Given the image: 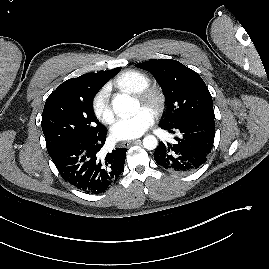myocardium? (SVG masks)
Segmentation results:
<instances>
[{
	"mask_svg": "<svg viewBox=\"0 0 269 269\" xmlns=\"http://www.w3.org/2000/svg\"><path fill=\"white\" fill-rule=\"evenodd\" d=\"M137 98L142 105L149 108L155 115L163 112L166 105V96L163 91L157 87H146L137 94Z\"/></svg>",
	"mask_w": 269,
	"mask_h": 269,
	"instance_id": "1",
	"label": "myocardium"
}]
</instances>
